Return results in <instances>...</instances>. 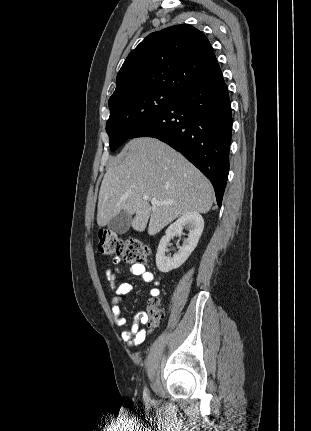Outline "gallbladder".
Instances as JSON below:
<instances>
[{
    "instance_id": "1",
    "label": "gallbladder",
    "mask_w": 311,
    "mask_h": 431,
    "mask_svg": "<svg viewBox=\"0 0 311 431\" xmlns=\"http://www.w3.org/2000/svg\"><path fill=\"white\" fill-rule=\"evenodd\" d=\"M132 221V216L126 214V212H119L117 216L112 217L108 223L109 229L115 231V233H125L128 231Z\"/></svg>"
}]
</instances>
